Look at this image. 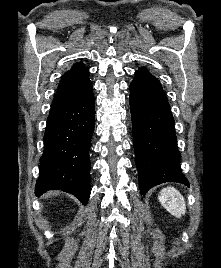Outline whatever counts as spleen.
<instances>
[{
	"mask_svg": "<svg viewBox=\"0 0 221 268\" xmlns=\"http://www.w3.org/2000/svg\"><path fill=\"white\" fill-rule=\"evenodd\" d=\"M159 201L174 217L180 218L185 213L186 206L183 196L174 187H167L160 192Z\"/></svg>",
	"mask_w": 221,
	"mask_h": 268,
	"instance_id": "obj_1",
	"label": "spleen"
}]
</instances>
